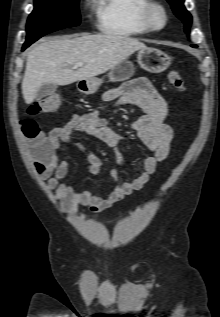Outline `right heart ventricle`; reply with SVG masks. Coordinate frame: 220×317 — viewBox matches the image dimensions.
<instances>
[{
  "instance_id": "right-heart-ventricle-1",
  "label": "right heart ventricle",
  "mask_w": 220,
  "mask_h": 317,
  "mask_svg": "<svg viewBox=\"0 0 220 317\" xmlns=\"http://www.w3.org/2000/svg\"><path fill=\"white\" fill-rule=\"evenodd\" d=\"M149 0H96L95 15L101 32L118 37L148 34L142 9Z\"/></svg>"
}]
</instances>
